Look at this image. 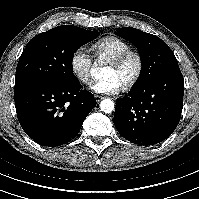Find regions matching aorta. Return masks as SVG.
I'll return each mask as SVG.
<instances>
[{
  "label": "aorta",
  "instance_id": "1",
  "mask_svg": "<svg viewBox=\"0 0 199 199\" xmlns=\"http://www.w3.org/2000/svg\"><path fill=\"white\" fill-rule=\"evenodd\" d=\"M100 109L105 113H111L115 109L114 102L111 99H104L100 102Z\"/></svg>",
  "mask_w": 199,
  "mask_h": 199
}]
</instances>
